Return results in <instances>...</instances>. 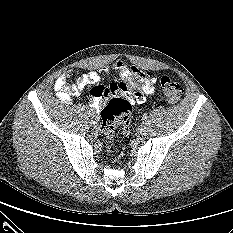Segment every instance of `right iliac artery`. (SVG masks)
Returning <instances> with one entry per match:
<instances>
[{"instance_id":"obj_1","label":"right iliac artery","mask_w":233,"mask_h":233,"mask_svg":"<svg viewBox=\"0 0 233 233\" xmlns=\"http://www.w3.org/2000/svg\"><path fill=\"white\" fill-rule=\"evenodd\" d=\"M88 114H89L90 117H94L95 116V111L93 109H90L88 111Z\"/></svg>"}]
</instances>
